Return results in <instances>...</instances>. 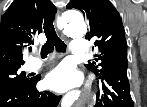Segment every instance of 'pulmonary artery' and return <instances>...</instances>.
I'll use <instances>...</instances> for the list:
<instances>
[{"label":"pulmonary artery","mask_w":147,"mask_h":107,"mask_svg":"<svg viewBox=\"0 0 147 107\" xmlns=\"http://www.w3.org/2000/svg\"><path fill=\"white\" fill-rule=\"evenodd\" d=\"M87 43L83 39H75L71 44V51L73 54L83 55L87 52ZM42 66V61L38 58H32L27 63L28 70H35Z\"/></svg>","instance_id":"pulmonary-artery-1"}]
</instances>
